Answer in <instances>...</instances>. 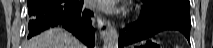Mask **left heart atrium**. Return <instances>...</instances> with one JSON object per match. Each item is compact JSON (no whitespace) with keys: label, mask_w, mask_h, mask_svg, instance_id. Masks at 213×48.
I'll return each mask as SVG.
<instances>
[{"label":"left heart atrium","mask_w":213,"mask_h":48,"mask_svg":"<svg viewBox=\"0 0 213 48\" xmlns=\"http://www.w3.org/2000/svg\"><path fill=\"white\" fill-rule=\"evenodd\" d=\"M118 3L116 0H95L92 2V5L101 11L114 13L120 9Z\"/></svg>","instance_id":"1"}]
</instances>
